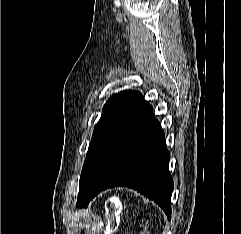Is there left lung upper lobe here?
<instances>
[{"mask_svg":"<svg viewBox=\"0 0 241 234\" xmlns=\"http://www.w3.org/2000/svg\"><path fill=\"white\" fill-rule=\"evenodd\" d=\"M137 91H123L113 95L103 107L102 116L94 128L79 181L77 206H82L89 185L100 168L112 142L122 126L141 103Z\"/></svg>","mask_w":241,"mask_h":234,"instance_id":"obj_1","label":"left lung upper lobe"}]
</instances>
